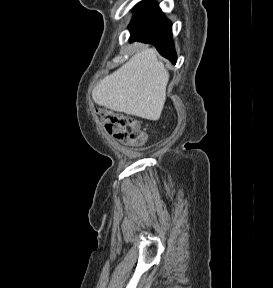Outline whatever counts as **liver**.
Segmentation results:
<instances>
[{
  "instance_id": "1",
  "label": "liver",
  "mask_w": 273,
  "mask_h": 288,
  "mask_svg": "<svg viewBox=\"0 0 273 288\" xmlns=\"http://www.w3.org/2000/svg\"><path fill=\"white\" fill-rule=\"evenodd\" d=\"M169 73L154 48L142 47L128 62L101 80L93 101L112 111L157 121L166 100Z\"/></svg>"
}]
</instances>
